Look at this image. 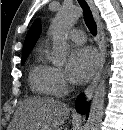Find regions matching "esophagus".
I'll use <instances>...</instances> for the list:
<instances>
[{"instance_id": "1", "label": "esophagus", "mask_w": 123, "mask_h": 130, "mask_svg": "<svg viewBox=\"0 0 123 130\" xmlns=\"http://www.w3.org/2000/svg\"><path fill=\"white\" fill-rule=\"evenodd\" d=\"M93 17L95 19L96 25H97V30H98V46H99V67H98V71L95 75V77L93 78V80L91 81V83L89 84V86L86 88L85 90V97L86 98H90L91 95L93 94V92L96 89V86L98 84L99 78H100V73L103 69V65H104V61H105V40H104V32H103V25L99 16V12L97 7L94 5L93 0H87ZM78 115V114H76Z\"/></svg>"}]
</instances>
